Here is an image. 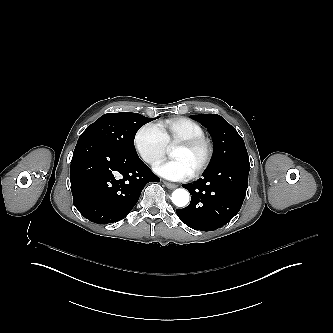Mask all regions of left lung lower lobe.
I'll use <instances>...</instances> for the list:
<instances>
[{
  "instance_id": "obj_1",
  "label": "left lung lower lobe",
  "mask_w": 333,
  "mask_h": 333,
  "mask_svg": "<svg viewBox=\"0 0 333 333\" xmlns=\"http://www.w3.org/2000/svg\"><path fill=\"white\" fill-rule=\"evenodd\" d=\"M248 156L230 158L209 169L203 178L182 185L190 204L176 209L180 220L195 230L213 231L227 224L241 209L248 187Z\"/></svg>"
}]
</instances>
